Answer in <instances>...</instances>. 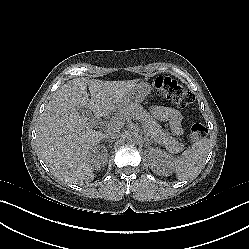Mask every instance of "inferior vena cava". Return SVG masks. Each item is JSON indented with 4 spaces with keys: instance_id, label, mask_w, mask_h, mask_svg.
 Listing matches in <instances>:
<instances>
[{
    "instance_id": "obj_1",
    "label": "inferior vena cava",
    "mask_w": 249,
    "mask_h": 249,
    "mask_svg": "<svg viewBox=\"0 0 249 249\" xmlns=\"http://www.w3.org/2000/svg\"><path fill=\"white\" fill-rule=\"evenodd\" d=\"M118 135V128L116 126H109L106 133L102 135L104 138L115 139Z\"/></svg>"
}]
</instances>
